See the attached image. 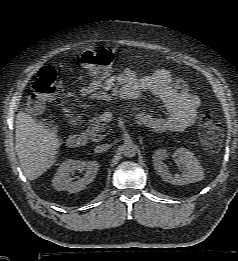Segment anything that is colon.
Wrapping results in <instances>:
<instances>
[{
  "label": "colon",
  "instance_id": "colon-1",
  "mask_svg": "<svg viewBox=\"0 0 238 261\" xmlns=\"http://www.w3.org/2000/svg\"><path fill=\"white\" fill-rule=\"evenodd\" d=\"M118 60V53L110 47H96L86 50L81 56L82 64L89 72L104 78ZM57 91V73L53 67H42L31 84L28 105L33 112H41L46 101L52 99ZM200 139L205 147L216 150L223 139L222 123L211 114H204L199 125Z\"/></svg>",
  "mask_w": 238,
  "mask_h": 261
}]
</instances>
